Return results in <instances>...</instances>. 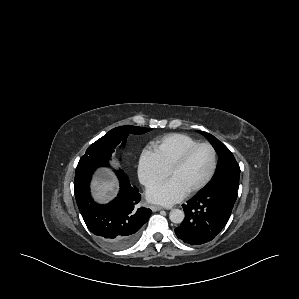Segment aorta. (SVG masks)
Listing matches in <instances>:
<instances>
[{"mask_svg": "<svg viewBox=\"0 0 299 299\" xmlns=\"http://www.w3.org/2000/svg\"><path fill=\"white\" fill-rule=\"evenodd\" d=\"M185 214L180 209H172L169 214V219L175 224H180L183 222Z\"/></svg>", "mask_w": 299, "mask_h": 299, "instance_id": "aorta-1", "label": "aorta"}]
</instances>
